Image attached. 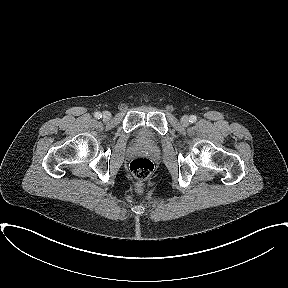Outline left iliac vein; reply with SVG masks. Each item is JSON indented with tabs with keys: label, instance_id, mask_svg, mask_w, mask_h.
<instances>
[{
	"label": "left iliac vein",
	"instance_id": "1",
	"mask_svg": "<svg viewBox=\"0 0 288 288\" xmlns=\"http://www.w3.org/2000/svg\"><path fill=\"white\" fill-rule=\"evenodd\" d=\"M189 122L190 121H189V117L188 116H186V115L182 116L181 123H182L183 126H188Z\"/></svg>",
	"mask_w": 288,
	"mask_h": 288
}]
</instances>
